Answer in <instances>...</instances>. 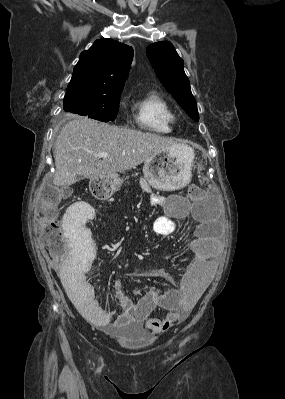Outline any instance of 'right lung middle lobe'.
Segmentation results:
<instances>
[{"mask_svg": "<svg viewBox=\"0 0 285 399\" xmlns=\"http://www.w3.org/2000/svg\"><path fill=\"white\" fill-rule=\"evenodd\" d=\"M121 92L113 95L69 94L64 97V110L96 120L114 121L118 112Z\"/></svg>", "mask_w": 285, "mask_h": 399, "instance_id": "1", "label": "right lung middle lobe"}]
</instances>
